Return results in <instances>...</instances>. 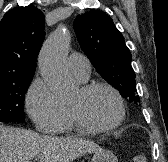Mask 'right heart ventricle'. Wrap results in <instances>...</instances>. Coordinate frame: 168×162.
<instances>
[{
    "instance_id": "e07e8e85",
    "label": "right heart ventricle",
    "mask_w": 168,
    "mask_h": 162,
    "mask_svg": "<svg viewBox=\"0 0 168 162\" xmlns=\"http://www.w3.org/2000/svg\"><path fill=\"white\" fill-rule=\"evenodd\" d=\"M68 110V119L66 124L61 127L57 133H72V132H84L75 122L70 109L67 107Z\"/></svg>"
}]
</instances>
